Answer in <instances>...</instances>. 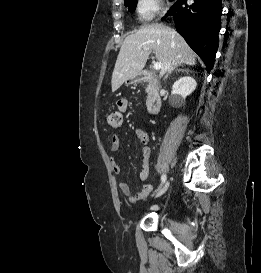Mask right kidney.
Listing matches in <instances>:
<instances>
[{"mask_svg":"<svg viewBox=\"0 0 261 273\" xmlns=\"http://www.w3.org/2000/svg\"><path fill=\"white\" fill-rule=\"evenodd\" d=\"M196 86L197 83L193 77H181L172 86V99L183 102L196 89Z\"/></svg>","mask_w":261,"mask_h":273,"instance_id":"obj_1","label":"right kidney"}]
</instances>
